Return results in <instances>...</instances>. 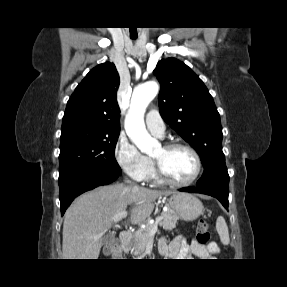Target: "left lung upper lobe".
Returning <instances> with one entry per match:
<instances>
[{
	"mask_svg": "<svg viewBox=\"0 0 287 287\" xmlns=\"http://www.w3.org/2000/svg\"><path fill=\"white\" fill-rule=\"evenodd\" d=\"M153 73L161 84L158 99L162 118L201 158L204 173L197 186L229 191L220 115L203 81L175 58L159 61Z\"/></svg>",
	"mask_w": 287,
	"mask_h": 287,
	"instance_id": "obj_1",
	"label": "left lung upper lobe"
}]
</instances>
